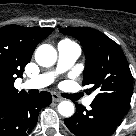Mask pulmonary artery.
I'll return each mask as SVG.
<instances>
[{
	"mask_svg": "<svg viewBox=\"0 0 136 136\" xmlns=\"http://www.w3.org/2000/svg\"><path fill=\"white\" fill-rule=\"evenodd\" d=\"M58 64L57 73L68 70L78 59L81 53L80 47L69 40H62L58 43ZM55 73H45L29 79L23 83L25 89H40L50 85L54 80ZM94 97L90 96L84 100V104L89 106Z\"/></svg>",
	"mask_w": 136,
	"mask_h": 136,
	"instance_id": "obj_1",
	"label": "pulmonary artery"
}]
</instances>
